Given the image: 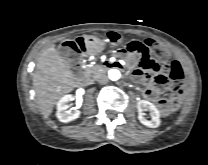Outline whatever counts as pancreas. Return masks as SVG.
<instances>
[{
  "mask_svg": "<svg viewBox=\"0 0 208 165\" xmlns=\"http://www.w3.org/2000/svg\"><path fill=\"white\" fill-rule=\"evenodd\" d=\"M99 69L97 66H89L86 68L85 73L94 77L99 72Z\"/></svg>",
  "mask_w": 208,
  "mask_h": 165,
  "instance_id": "1",
  "label": "pancreas"
}]
</instances>
